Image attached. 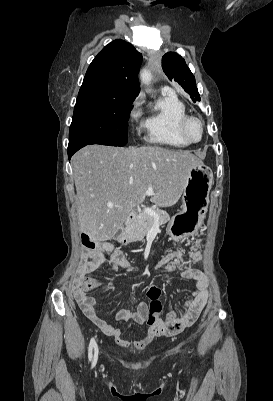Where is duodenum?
<instances>
[{"label":"duodenum","mask_w":273,"mask_h":401,"mask_svg":"<svg viewBox=\"0 0 273 401\" xmlns=\"http://www.w3.org/2000/svg\"><path fill=\"white\" fill-rule=\"evenodd\" d=\"M136 219V214L135 213H130L127 217V225H129L130 223H132L134 220Z\"/></svg>","instance_id":"410a0bca"}]
</instances>
